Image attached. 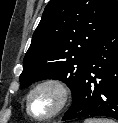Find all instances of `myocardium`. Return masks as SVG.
<instances>
[{"mask_svg":"<svg viewBox=\"0 0 118 123\" xmlns=\"http://www.w3.org/2000/svg\"><path fill=\"white\" fill-rule=\"evenodd\" d=\"M44 88H52L54 89L58 94V103L55 109L46 116H37L32 113L31 107H30V100L32 96L39 90ZM70 99V89L68 85L61 79L51 77L43 79L39 82H37L27 93L25 98V106H26V112L27 114L32 117L35 120L39 121H47L50 119L55 118L58 116L67 106Z\"/></svg>","mask_w":118,"mask_h":123,"instance_id":"obj_1","label":"myocardium"}]
</instances>
